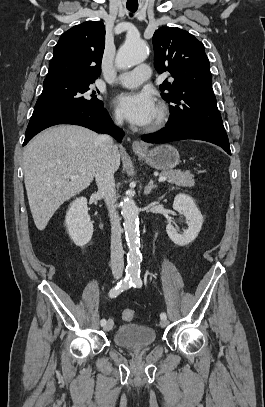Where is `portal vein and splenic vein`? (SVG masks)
I'll return each mask as SVG.
<instances>
[{"label": "portal vein and splenic vein", "mask_w": 265, "mask_h": 407, "mask_svg": "<svg viewBox=\"0 0 265 407\" xmlns=\"http://www.w3.org/2000/svg\"><path fill=\"white\" fill-rule=\"evenodd\" d=\"M167 179L166 176H160L159 177V182H164Z\"/></svg>", "instance_id": "1"}]
</instances>
